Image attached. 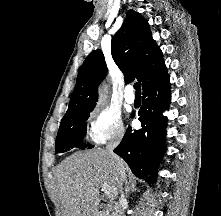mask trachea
<instances>
[{
    "instance_id": "trachea-1",
    "label": "trachea",
    "mask_w": 221,
    "mask_h": 216,
    "mask_svg": "<svg viewBox=\"0 0 221 216\" xmlns=\"http://www.w3.org/2000/svg\"><path fill=\"white\" fill-rule=\"evenodd\" d=\"M134 89L136 90V93H141V84L139 82L135 83Z\"/></svg>"
}]
</instances>
